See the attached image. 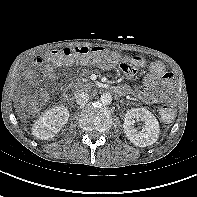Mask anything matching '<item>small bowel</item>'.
I'll return each mask as SVG.
<instances>
[{"instance_id":"obj_1","label":"small bowel","mask_w":197,"mask_h":197,"mask_svg":"<svg viewBox=\"0 0 197 197\" xmlns=\"http://www.w3.org/2000/svg\"><path fill=\"white\" fill-rule=\"evenodd\" d=\"M40 58H36L34 63L39 65ZM126 63L125 67H122L124 74L131 78L135 75L136 69L133 64L134 61H124ZM60 63H56L58 66ZM55 66L47 65L44 68V73L49 78H54ZM144 88L141 90L133 91V94L146 104L162 103L170 98L172 93L174 83L173 76L166 71L165 66L158 61L152 62L149 66V72L144 77L143 80Z\"/></svg>"}]
</instances>
